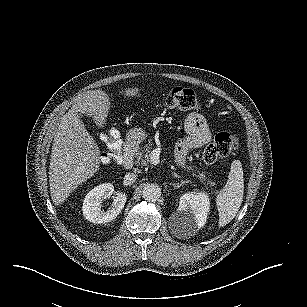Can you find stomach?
<instances>
[{
  "instance_id": "obj_1",
  "label": "stomach",
  "mask_w": 307,
  "mask_h": 307,
  "mask_svg": "<svg viewBox=\"0 0 307 307\" xmlns=\"http://www.w3.org/2000/svg\"><path fill=\"white\" fill-rule=\"evenodd\" d=\"M146 137V133L139 128L132 129L126 136V140L130 144H138Z\"/></svg>"
}]
</instances>
